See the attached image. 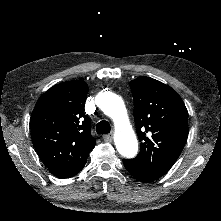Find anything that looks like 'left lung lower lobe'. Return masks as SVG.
<instances>
[{"mask_svg": "<svg viewBox=\"0 0 221 221\" xmlns=\"http://www.w3.org/2000/svg\"><path fill=\"white\" fill-rule=\"evenodd\" d=\"M125 168L128 170V172L137 180L141 182H152L158 177H155L148 172H146L142 167L138 166L131 160H123Z\"/></svg>", "mask_w": 221, "mask_h": 221, "instance_id": "0a47b994", "label": "left lung lower lobe"}]
</instances>
